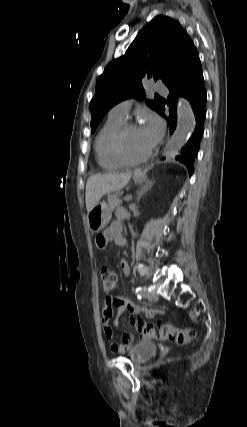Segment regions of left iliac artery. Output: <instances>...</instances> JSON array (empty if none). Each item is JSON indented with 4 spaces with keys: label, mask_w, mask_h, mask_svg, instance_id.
<instances>
[{
    "label": "left iliac artery",
    "mask_w": 247,
    "mask_h": 427,
    "mask_svg": "<svg viewBox=\"0 0 247 427\" xmlns=\"http://www.w3.org/2000/svg\"><path fill=\"white\" fill-rule=\"evenodd\" d=\"M136 294L139 299L146 296V289H142L141 287L136 288Z\"/></svg>",
    "instance_id": "44dca946"
}]
</instances>
